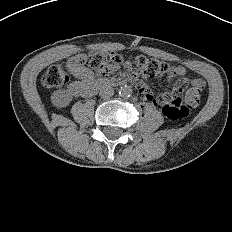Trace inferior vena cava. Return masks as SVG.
Instances as JSON below:
<instances>
[{"mask_svg":"<svg viewBox=\"0 0 232 232\" xmlns=\"http://www.w3.org/2000/svg\"><path fill=\"white\" fill-rule=\"evenodd\" d=\"M99 95L102 98H110L114 95V89L111 86H103L100 88Z\"/></svg>","mask_w":232,"mask_h":232,"instance_id":"inferior-vena-cava-1","label":"inferior vena cava"}]
</instances>
